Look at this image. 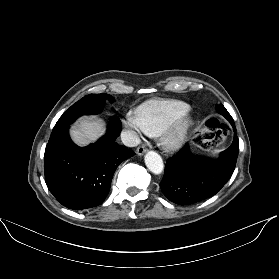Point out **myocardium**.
Masks as SVG:
<instances>
[{
  "instance_id": "1",
  "label": "myocardium",
  "mask_w": 279,
  "mask_h": 279,
  "mask_svg": "<svg viewBox=\"0 0 279 279\" xmlns=\"http://www.w3.org/2000/svg\"><path fill=\"white\" fill-rule=\"evenodd\" d=\"M193 125V118L189 111L180 116L161 133V143L169 151H174L183 146L189 130Z\"/></svg>"
}]
</instances>
